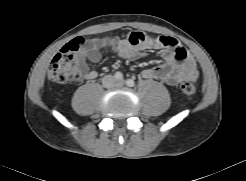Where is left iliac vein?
<instances>
[{"instance_id":"left-iliac-vein-1","label":"left iliac vein","mask_w":246,"mask_h":181,"mask_svg":"<svg viewBox=\"0 0 246 181\" xmlns=\"http://www.w3.org/2000/svg\"><path fill=\"white\" fill-rule=\"evenodd\" d=\"M119 84L120 85H124L125 84V81L124 80H121V81H119Z\"/></svg>"}]
</instances>
